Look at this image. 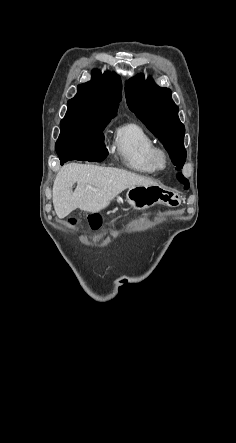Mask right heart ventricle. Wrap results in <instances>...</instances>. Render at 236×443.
Listing matches in <instances>:
<instances>
[{
  "label": "right heart ventricle",
  "instance_id": "e07e8e85",
  "mask_svg": "<svg viewBox=\"0 0 236 443\" xmlns=\"http://www.w3.org/2000/svg\"><path fill=\"white\" fill-rule=\"evenodd\" d=\"M156 143L139 124L127 122L116 129L113 149L122 165L130 170L153 174L158 171L153 159Z\"/></svg>",
  "mask_w": 236,
  "mask_h": 443
}]
</instances>
